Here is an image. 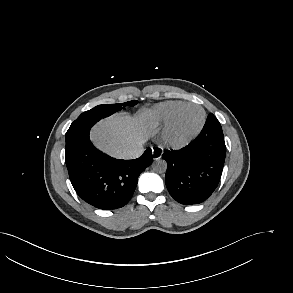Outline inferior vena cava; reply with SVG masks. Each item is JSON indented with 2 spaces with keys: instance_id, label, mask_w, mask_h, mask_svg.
Returning <instances> with one entry per match:
<instances>
[{
  "instance_id": "1",
  "label": "inferior vena cava",
  "mask_w": 293,
  "mask_h": 293,
  "mask_svg": "<svg viewBox=\"0 0 293 293\" xmlns=\"http://www.w3.org/2000/svg\"><path fill=\"white\" fill-rule=\"evenodd\" d=\"M143 152H144V148L142 145L134 147V148H130L124 152L123 158L124 159H135V158L140 157L143 154Z\"/></svg>"
}]
</instances>
